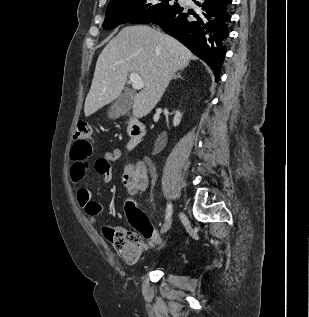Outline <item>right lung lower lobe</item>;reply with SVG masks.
Instances as JSON below:
<instances>
[{"label":"right lung lower lobe","instance_id":"98d812e1","mask_svg":"<svg viewBox=\"0 0 309 317\" xmlns=\"http://www.w3.org/2000/svg\"><path fill=\"white\" fill-rule=\"evenodd\" d=\"M197 9L178 6L141 23L158 24L163 31L183 43L206 62L218 81L226 54L232 0H193Z\"/></svg>","mask_w":309,"mask_h":317}]
</instances>
